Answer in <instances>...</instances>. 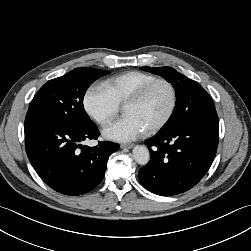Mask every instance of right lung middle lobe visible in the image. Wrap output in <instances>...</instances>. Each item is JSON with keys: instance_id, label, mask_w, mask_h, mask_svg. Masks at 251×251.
Listing matches in <instances>:
<instances>
[{"instance_id": "right-lung-middle-lobe-1", "label": "right lung middle lobe", "mask_w": 251, "mask_h": 251, "mask_svg": "<svg viewBox=\"0 0 251 251\" xmlns=\"http://www.w3.org/2000/svg\"><path fill=\"white\" fill-rule=\"evenodd\" d=\"M108 71L89 67L76 68L62 77L45 83L34 96L27 114H37L76 129H88L95 124L83 107L88 87Z\"/></svg>"}]
</instances>
